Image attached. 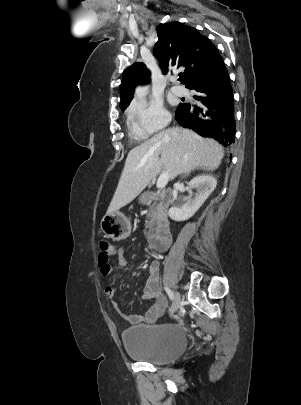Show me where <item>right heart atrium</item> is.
<instances>
[{
  "label": "right heart atrium",
  "instance_id": "right-heart-atrium-1",
  "mask_svg": "<svg viewBox=\"0 0 301 405\" xmlns=\"http://www.w3.org/2000/svg\"><path fill=\"white\" fill-rule=\"evenodd\" d=\"M132 123L139 133L151 135L164 129L171 120L169 112L158 100H138L129 107Z\"/></svg>",
  "mask_w": 301,
  "mask_h": 405
}]
</instances>
